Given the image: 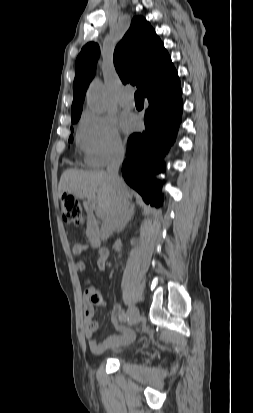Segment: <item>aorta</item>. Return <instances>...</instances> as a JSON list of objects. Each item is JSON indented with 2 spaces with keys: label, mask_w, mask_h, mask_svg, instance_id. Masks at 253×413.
Listing matches in <instances>:
<instances>
[{
  "label": "aorta",
  "mask_w": 253,
  "mask_h": 413,
  "mask_svg": "<svg viewBox=\"0 0 253 413\" xmlns=\"http://www.w3.org/2000/svg\"><path fill=\"white\" fill-rule=\"evenodd\" d=\"M105 97L106 91L103 83L99 80L94 81L87 93L88 107L96 113H103L106 106Z\"/></svg>",
  "instance_id": "obj_1"
}]
</instances>
